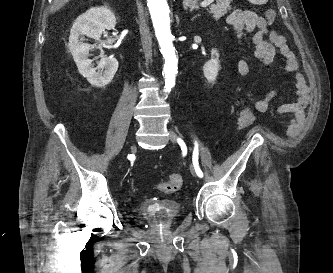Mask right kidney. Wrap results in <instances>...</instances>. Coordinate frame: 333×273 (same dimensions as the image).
I'll list each match as a JSON object with an SVG mask.
<instances>
[{"label":"right kidney","mask_w":333,"mask_h":273,"mask_svg":"<svg viewBox=\"0 0 333 273\" xmlns=\"http://www.w3.org/2000/svg\"><path fill=\"white\" fill-rule=\"evenodd\" d=\"M116 17L107 6L92 7L80 15L74 22L69 36L68 47L78 67L79 73L92 85L103 88L108 85L118 69V61L106 57L100 46L101 59L95 67L93 60L89 59V51L96 47L83 43L85 36L100 40L102 32L114 29Z\"/></svg>","instance_id":"right-kidney-1"}]
</instances>
